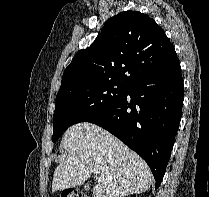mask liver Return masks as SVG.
Here are the masks:
<instances>
[{
	"label": "liver",
	"instance_id": "liver-1",
	"mask_svg": "<svg viewBox=\"0 0 209 197\" xmlns=\"http://www.w3.org/2000/svg\"><path fill=\"white\" fill-rule=\"evenodd\" d=\"M67 158L55 169L52 191H62L83 184L99 173L93 197H124L150 188L152 173L146 162L107 130L88 122L71 126L61 145Z\"/></svg>",
	"mask_w": 209,
	"mask_h": 197
}]
</instances>
